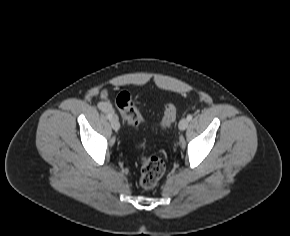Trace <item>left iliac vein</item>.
Listing matches in <instances>:
<instances>
[{
    "mask_svg": "<svg viewBox=\"0 0 290 236\" xmlns=\"http://www.w3.org/2000/svg\"><path fill=\"white\" fill-rule=\"evenodd\" d=\"M188 124H189V121L186 118H183L180 120L178 127L181 131H183L187 128Z\"/></svg>",
    "mask_w": 290,
    "mask_h": 236,
    "instance_id": "1",
    "label": "left iliac vein"
}]
</instances>
